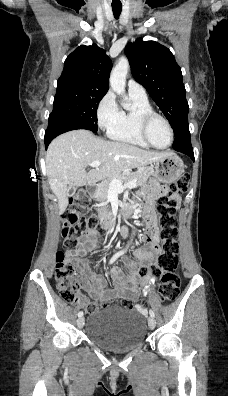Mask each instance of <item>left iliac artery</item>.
<instances>
[{
  "instance_id": "1",
  "label": "left iliac artery",
  "mask_w": 228,
  "mask_h": 396,
  "mask_svg": "<svg viewBox=\"0 0 228 396\" xmlns=\"http://www.w3.org/2000/svg\"><path fill=\"white\" fill-rule=\"evenodd\" d=\"M149 314H150L151 317H155V314H154L153 310H151V309L149 311Z\"/></svg>"
}]
</instances>
